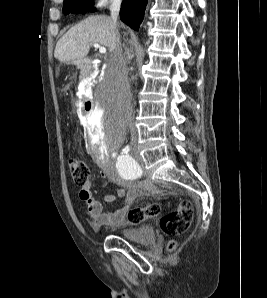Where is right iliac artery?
<instances>
[{
	"instance_id": "82829eb1",
	"label": "right iliac artery",
	"mask_w": 267,
	"mask_h": 298,
	"mask_svg": "<svg viewBox=\"0 0 267 298\" xmlns=\"http://www.w3.org/2000/svg\"><path fill=\"white\" fill-rule=\"evenodd\" d=\"M129 152H130V147H129V145H127V146H125L124 148H123V150H122V152H121V157H120V161L122 162H124V161H126V162H134V160L132 159V157L130 156V154H129Z\"/></svg>"
}]
</instances>
